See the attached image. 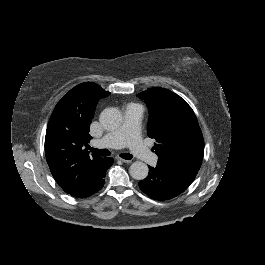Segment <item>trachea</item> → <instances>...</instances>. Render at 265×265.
Returning a JSON list of instances; mask_svg holds the SVG:
<instances>
[{"label":"trachea","mask_w":265,"mask_h":265,"mask_svg":"<svg viewBox=\"0 0 265 265\" xmlns=\"http://www.w3.org/2000/svg\"><path fill=\"white\" fill-rule=\"evenodd\" d=\"M89 150L98 156H109L111 154L108 149H96L89 147ZM119 157L127 160L132 159V155L129 153H121L119 154Z\"/></svg>","instance_id":"obj_1"}]
</instances>
